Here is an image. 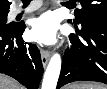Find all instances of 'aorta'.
Returning <instances> with one entry per match:
<instances>
[{"label":"aorta","mask_w":107,"mask_h":89,"mask_svg":"<svg viewBox=\"0 0 107 89\" xmlns=\"http://www.w3.org/2000/svg\"><path fill=\"white\" fill-rule=\"evenodd\" d=\"M60 71L61 57L58 53H56L51 57L45 71L42 82V89H56Z\"/></svg>","instance_id":"1"}]
</instances>
